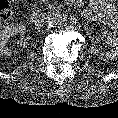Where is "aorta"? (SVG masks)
Masks as SVG:
<instances>
[{
	"instance_id": "obj_1",
	"label": "aorta",
	"mask_w": 118,
	"mask_h": 118,
	"mask_svg": "<svg viewBox=\"0 0 118 118\" xmlns=\"http://www.w3.org/2000/svg\"><path fill=\"white\" fill-rule=\"evenodd\" d=\"M47 22L52 27H61L67 22V17L61 14H52L47 17Z\"/></svg>"
}]
</instances>
